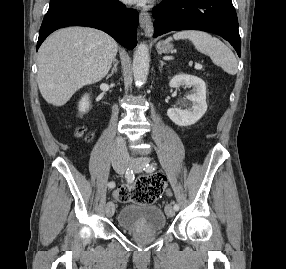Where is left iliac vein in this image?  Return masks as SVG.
<instances>
[{
	"mask_svg": "<svg viewBox=\"0 0 286 269\" xmlns=\"http://www.w3.org/2000/svg\"><path fill=\"white\" fill-rule=\"evenodd\" d=\"M131 162L134 166L135 172H140L142 170V166L148 164L149 159L146 157L137 158V159H132ZM165 212L168 217H173L175 215V209L170 204L166 205Z\"/></svg>",
	"mask_w": 286,
	"mask_h": 269,
	"instance_id": "left-iliac-vein-1",
	"label": "left iliac vein"
}]
</instances>
